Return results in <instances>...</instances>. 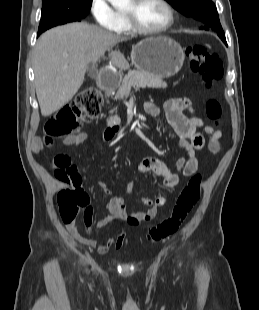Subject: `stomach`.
Returning <instances> with one entry per match:
<instances>
[{"label": "stomach", "instance_id": "0dacf381", "mask_svg": "<svg viewBox=\"0 0 259 310\" xmlns=\"http://www.w3.org/2000/svg\"><path fill=\"white\" fill-rule=\"evenodd\" d=\"M185 54L173 39L150 37L132 48L131 60L140 72L160 78L176 75L183 66Z\"/></svg>", "mask_w": 259, "mask_h": 310}]
</instances>
